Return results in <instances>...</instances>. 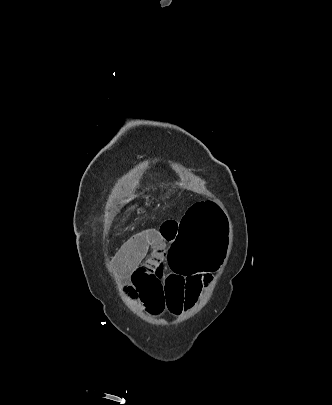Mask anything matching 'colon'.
<instances>
[{"label": "colon", "mask_w": 332, "mask_h": 405, "mask_svg": "<svg viewBox=\"0 0 332 405\" xmlns=\"http://www.w3.org/2000/svg\"><path fill=\"white\" fill-rule=\"evenodd\" d=\"M219 202H191L184 212L185 220H176V240L169 249L172 271L177 275H212L224 267L226 221ZM131 296H140L128 287ZM145 307V305H144Z\"/></svg>", "instance_id": "1"}]
</instances>
